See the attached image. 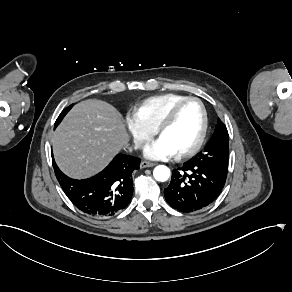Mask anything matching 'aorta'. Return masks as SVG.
Here are the masks:
<instances>
[{"instance_id": "aorta-1", "label": "aorta", "mask_w": 292, "mask_h": 292, "mask_svg": "<svg viewBox=\"0 0 292 292\" xmlns=\"http://www.w3.org/2000/svg\"><path fill=\"white\" fill-rule=\"evenodd\" d=\"M153 176H154L155 180H157L159 182H165L170 177V170L168 167H166L164 165H159V166L155 167V169L153 171Z\"/></svg>"}]
</instances>
